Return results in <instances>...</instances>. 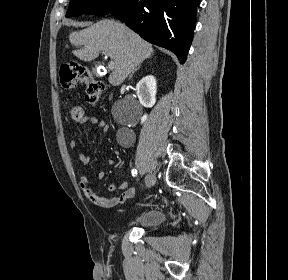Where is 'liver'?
Segmentation results:
<instances>
[{"label":"liver","mask_w":288,"mask_h":280,"mask_svg":"<svg viewBox=\"0 0 288 280\" xmlns=\"http://www.w3.org/2000/svg\"><path fill=\"white\" fill-rule=\"evenodd\" d=\"M69 40L78 48L73 54L82 61L94 60L100 51L108 53L114 62V69L108 77L113 86L122 84L137 65L154 53L151 44L112 19H104L81 31L72 32Z\"/></svg>","instance_id":"6515ba94"}]
</instances>
